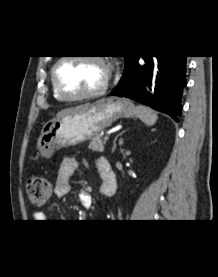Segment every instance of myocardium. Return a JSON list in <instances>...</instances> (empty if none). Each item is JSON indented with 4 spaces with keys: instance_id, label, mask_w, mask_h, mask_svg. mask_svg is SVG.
<instances>
[{
    "instance_id": "1",
    "label": "myocardium",
    "mask_w": 218,
    "mask_h": 277,
    "mask_svg": "<svg viewBox=\"0 0 218 277\" xmlns=\"http://www.w3.org/2000/svg\"><path fill=\"white\" fill-rule=\"evenodd\" d=\"M68 59H85V60H91V61H95L97 63H99L100 65H102L105 68L106 71V76L105 79L102 83V85L93 90V91H89L80 95H69L66 92H64V90L61 88L60 84H59V80H58V76H57V69L58 66L65 60ZM51 80H52V85L56 91V93L63 99L66 101H79V100H85V99H90V98H94V97H98L100 95H102L103 93H105V91L108 88L109 85V80H110V69L108 67V65L106 64V62L104 61V59L100 56L97 55H79L78 57H73V56H62L60 57L53 65L52 70H51Z\"/></svg>"
}]
</instances>
